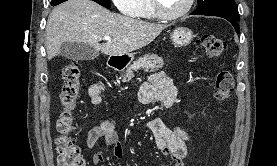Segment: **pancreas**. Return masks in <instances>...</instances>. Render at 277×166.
Instances as JSON below:
<instances>
[{
	"label": "pancreas",
	"instance_id": "pancreas-1",
	"mask_svg": "<svg viewBox=\"0 0 277 166\" xmlns=\"http://www.w3.org/2000/svg\"><path fill=\"white\" fill-rule=\"evenodd\" d=\"M164 65L163 59L156 54L145 55L144 57H140L137 61H135L122 75L123 82L130 81L134 77V71H138L139 69H143L145 72L157 71L161 69Z\"/></svg>",
	"mask_w": 277,
	"mask_h": 166
}]
</instances>
